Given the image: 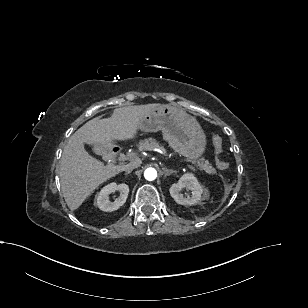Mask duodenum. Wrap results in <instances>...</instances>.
<instances>
[{"label":"duodenum","instance_id":"410a0bca","mask_svg":"<svg viewBox=\"0 0 308 308\" xmlns=\"http://www.w3.org/2000/svg\"><path fill=\"white\" fill-rule=\"evenodd\" d=\"M106 153L110 158H117L121 153V149L118 146H111L107 149Z\"/></svg>","mask_w":308,"mask_h":308}]
</instances>
